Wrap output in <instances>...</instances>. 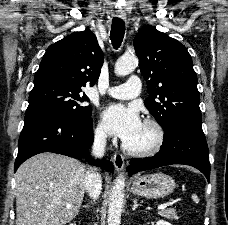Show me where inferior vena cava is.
<instances>
[{"mask_svg":"<svg viewBox=\"0 0 228 225\" xmlns=\"http://www.w3.org/2000/svg\"><path fill=\"white\" fill-rule=\"evenodd\" d=\"M106 139L107 137L104 131H96L92 147V155L96 157V159H102L105 153ZM96 171H98V169H90V171H87L85 177V191L91 199H98L101 193L102 179L101 175L96 173Z\"/></svg>","mask_w":228,"mask_h":225,"instance_id":"602c4592","label":"inferior vena cava"}]
</instances>
